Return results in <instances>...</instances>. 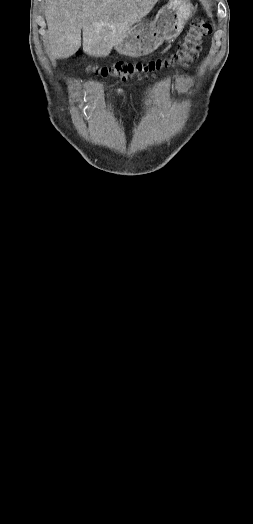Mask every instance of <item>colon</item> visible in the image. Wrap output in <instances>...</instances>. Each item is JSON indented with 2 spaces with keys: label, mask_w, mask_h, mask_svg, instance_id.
Listing matches in <instances>:
<instances>
[{
  "label": "colon",
  "mask_w": 253,
  "mask_h": 524,
  "mask_svg": "<svg viewBox=\"0 0 253 524\" xmlns=\"http://www.w3.org/2000/svg\"><path fill=\"white\" fill-rule=\"evenodd\" d=\"M211 33L212 26L209 22L205 19H196L192 21L177 51L169 59L138 63L118 62L105 67L90 66L89 69L103 76H114L122 80L154 77L172 66H185L192 61L198 55L203 40Z\"/></svg>",
  "instance_id": "obj_1"
}]
</instances>
